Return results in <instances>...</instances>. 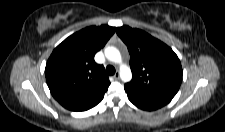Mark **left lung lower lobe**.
Returning a JSON list of instances; mask_svg holds the SVG:
<instances>
[{"instance_id":"0a47b994","label":"left lung lower lobe","mask_w":225,"mask_h":132,"mask_svg":"<svg viewBox=\"0 0 225 132\" xmlns=\"http://www.w3.org/2000/svg\"><path fill=\"white\" fill-rule=\"evenodd\" d=\"M129 100L137 107L152 111L156 110L158 108L163 107L164 105L168 104L171 100L165 97H146V96H140L137 94H133L127 91Z\"/></svg>"}]
</instances>
